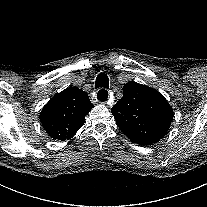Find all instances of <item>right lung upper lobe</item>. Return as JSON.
Returning a JSON list of instances; mask_svg holds the SVG:
<instances>
[{
  "instance_id": "cb5924a9",
  "label": "right lung upper lobe",
  "mask_w": 207,
  "mask_h": 207,
  "mask_svg": "<svg viewBox=\"0 0 207 207\" xmlns=\"http://www.w3.org/2000/svg\"><path fill=\"white\" fill-rule=\"evenodd\" d=\"M93 107L86 92L69 87L55 95L42 109L40 121L55 140H68L82 127Z\"/></svg>"
}]
</instances>
